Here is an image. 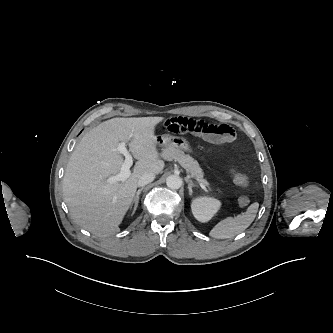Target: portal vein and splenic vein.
<instances>
[{
	"label": "portal vein and splenic vein",
	"mask_w": 333,
	"mask_h": 333,
	"mask_svg": "<svg viewBox=\"0 0 333 333\" xmlns=\"http://www.w3.org/2000/svg\"><path fill=\"white\" fill-rule=\"evenodd\" d=\"M117 150L125 156V160L121 166L120 173H118L115 176H110L107 179V182H109V183H113V182H117V181H125L131 175L130 167L133 164V160H132L131 154L129 153V151L126 148V142L118 143Z\"/></svg>",
	"instance_id": "18ae733b"
}]
</instances>
